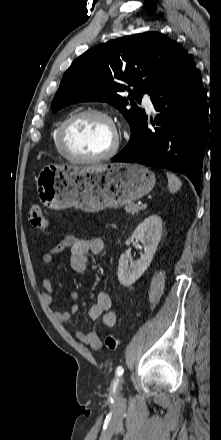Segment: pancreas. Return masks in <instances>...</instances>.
I'll return each mask as SVG.
<instances>
[{"instance_id": "pancreas-1", "label": "pancreas", "mask_w": 221, "mask_h": 440, "mask_svg": "<svg viewBox=\"0 0 221 440\" xmlns=\"http://www.w3.org/2000/svg\"><path fill=\"white\" fill-rule=\"evenodd\" d=\"M142 209V207L141 206H139V205H137V204H135V203H128L126 206H125V211H126V213H128V214H132V215H134V214H137L140 210Z\"/></svg>"}]
</instances>
